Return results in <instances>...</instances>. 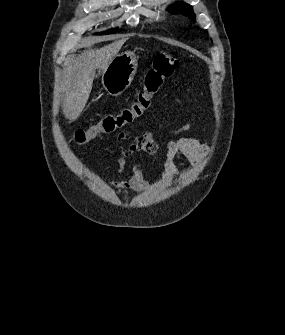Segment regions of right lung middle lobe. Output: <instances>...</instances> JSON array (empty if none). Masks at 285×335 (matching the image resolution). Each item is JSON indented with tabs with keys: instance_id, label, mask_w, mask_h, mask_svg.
Returning a JSON list of instances; mask_svg holds the SVG:
<instances>
[{
	"instance_id": "obj_1",
	"label": "right lung middle lobe",
	"mask_w": 285,
	"mask_h": 335,
	"mask_svg": "<svg viewBox=\"0 0 285 335\" xmlns=\"http://www.w3.org/2000/svg\"><path fill=\"white\" fill-rule=\"evenodd\" d=\"M112 33H115V29H111V30H108L106 32H102V33H98V34L105 35V34H112Z\"/></svg>"
}]
</instances>
